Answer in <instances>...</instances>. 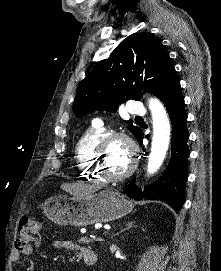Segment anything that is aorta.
I'll return each mask as SVG.
<instances>
[{"label": "aorta", "mask_w": 221, "mask_h": 271, "mask_svg": "<svg viewBox=\"0 0 221 271\" xmlns=\"http://www.w3.org/2000/svg\"><path fill=\"white\" fill-rule=\"evenodd\" d=\"M149 109L152 114L153 136L147 172L153 175L161 167L165 159L170 142L171 125L167 112L160 100L150 98Z\"/></svg>", "instance_id": "1"}]
</instances>
